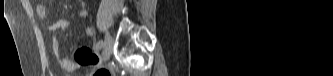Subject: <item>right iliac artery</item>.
Returning <instances> with one entry per match:
<instances>
[{"label": "right iliac artery", "mask_w": 333, "mask_h": 76, "mask_svg": "<svg viewBox=\"0 0 333 76\" xmlns=\"http://www.w3.org/2000/svg\"><path fill=\"white\" fill-rule=\"evenodd\" d=\"M102 47H103V42H102V41H99V42L96 44L95 49H96V50H100Z\"/></svg>", "instance_id": "82829eb1"}]
</instances>
